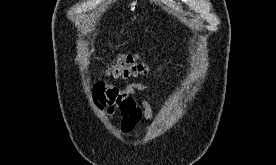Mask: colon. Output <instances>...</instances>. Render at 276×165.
<instances>
[{
    "instance_id": "5ec220e1",
    "label": "colon",
    "mask_w": 276,
    "mask_h": 165,
    "mask_svg": "<svg viewBox=\"0 0 276 165\" xmlns=\"http://www.w3.org/2000/svg\"><path fill=\"white\" fill-rule=\"evenodd\" d=\"M148 65L137 53L118 56L106 69V73L116 79H129L147 73Z\"/></svg>"
}]
</instances>
